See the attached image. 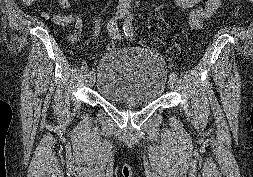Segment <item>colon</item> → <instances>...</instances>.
<instances>
[{
    "mask_svg": "<svg viewBox=\"0 0 253 177\" xmlns=\"http://www.w3.org/2000/svg\"><path fill=\"white\" fill-rule=\"evenodd\" d=\"M106 48L108 51L112 52V51H115L116 50V45L114 43V41L112 40H109L106 44Z\"/></svg>",
    "mask_w": 253,
    "mask_h": 177,
    "instance_id": "obj_1",
    "label": "colon"
}]
</instances>
